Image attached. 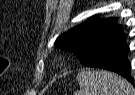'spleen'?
Returning <instances> with one entry per match:
<instances>
[{
	"mask_svg": "<svg viewBox=\"0 0 135 95\" xmlns=\"http://www.w3.org/2000/svg\"><path fill=\"white\" fill-rule=\"evenodd\" d=\"M77 82L80 90L75 95H135L127 80L107 71H81Z\"/></svg>",
	"mask_w": 135,
	"mask_h": 95,
	"instance_id": "obj_1",
	"label": "spleen"
}]
</instances>
